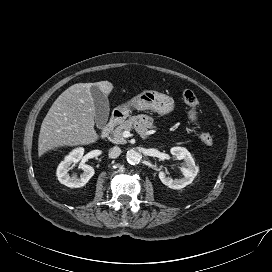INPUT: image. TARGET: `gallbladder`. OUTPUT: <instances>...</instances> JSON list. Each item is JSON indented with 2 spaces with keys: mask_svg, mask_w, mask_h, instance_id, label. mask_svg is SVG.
<instances>
[{
  "mask_svg": "<svg viewBox=\"0 0 272 272\" xmlns=\"http://www.w3.org/2000/svg\"><path fill=\"white\" fill-rule=\"evenodd\" d=\"M95 104V122L99 129H102L109 117V100L107 96L96 86L90 89Z\"/></svg>",
  "mask_w": 272,
  "mask_h": 272,
  "instance_id": "gallbladder-1",
  "label": "gallbladder"
}]
</instances>
